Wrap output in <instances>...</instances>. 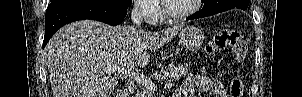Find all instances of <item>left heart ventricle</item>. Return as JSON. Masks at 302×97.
I'll list each match as a JSON object with an SVG mask.
<instances>
[{
  "label": "left heart ventricle",
  "mask_w": 302,
  "mask_h": 97,
  "mask_svg": "<svg viewBox=\"0 0 302 97\" xmlns=\"http://www.w3.org/2000/svg\"><path fill=\"white\" fill-rule=\"evenodd\" d=\"M173 12L180 13L193 6V0H169Z\"/></svg>",
  "instance_id": "left-heart-ventricle-1"
}]
</instances>
